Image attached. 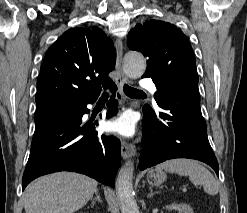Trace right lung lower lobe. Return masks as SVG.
Masks as SVG:
<instances>
[{"label": "right lung lower lobe", "mask_w": 247, "mask_h": 213, "mask_svg": "<svg viewBox=\"0 0 247 213\" xmlns=\"http://www.w3.org/2000/svg\"><path fill=\"white\" fill-rule=\"evenodd\" d=\"M115 92L117 87L110 86ZM97 97H60L49 101L35 112V132L30 156L23 174L22 190L35 178L57 171L88 175L114 187L121 163L120 142L113 136H98L95 123H83L86 105ZM107 105V118L116 111V100Z\"/></svg>", "instance_id": "right-lung-lower-lobe-1"}]
</instances>
